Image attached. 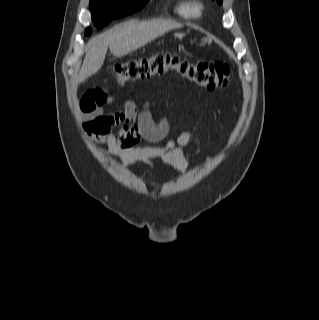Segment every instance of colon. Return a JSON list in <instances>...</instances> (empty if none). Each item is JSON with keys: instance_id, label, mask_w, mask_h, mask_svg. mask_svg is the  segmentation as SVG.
<instances>
[{"instance_id": "colon-1", "label": "colon", "mask_w": 319, "mask_h": 320, "mask_svg": "<svg viewBox=\"0 0 319 320\" xmlns=\"http://www.w3.org/2000/svg\"><path fill=\"white\" fill-rule=\"evenodd\" d=\"M171 70L176 71L189 82L207 89L226 87L230 76V67L227 63L207 60L192 61L171 52H161L136 60L116 63L113 66L114 77L120 86L162 75ZM122 133L129 145H135L141 140L157 142L166 135L165 130L161 128L148 123L131 124L128 120L124 122Z\"/></svg>"}]
</instances>
